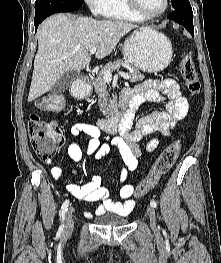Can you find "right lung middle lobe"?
I'll return each mask as SVG.
<instances>
[{
	"mask_svg": "<svg viewBox=\"0 0 221 263\" xmlns=\"http://www.w3.org/2000/svg\"><path fill=\"white\" fill-rule=\"evenodd\" d=\"M84 0H36L35 16L65 8L81 7Z\"/></svg>",
	"mask_w": 221,
	"mask_h": 263,
	"instance_id": "obj_1",
	"label": "right lung middle lobe"
}]
</instances>
